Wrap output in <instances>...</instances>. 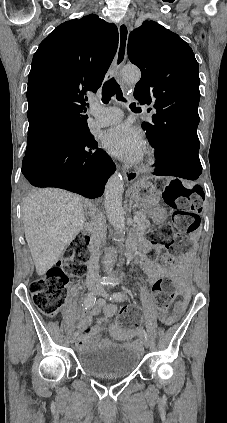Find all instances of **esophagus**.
<instances>
[{"instance_id":"esophagus-1","label":"esophagus","mask_w":227,"mask_h":423,"mask_svg":"<svg viewBox=\"0 0 227 423\" xmlns=\"http://www.w3.org/2000/svg\"><path fill=\"white\" fill-rule=\"evenodd\" d=\"M118 34H119L118 49H117L116 58L113 65V68L116 72L124 64L126 60V56H127L129 28L125 22L120 23V25L118 26ZM122 173H123L124 180H126L127 182H133L138 177L137 173L131 172L126 169H123Z\"/></svg>"}]
</instances>
